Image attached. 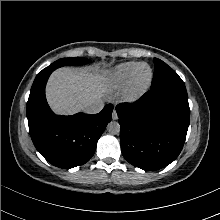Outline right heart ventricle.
<instances>
[{"label":"right heart ventricle","instance_id":"e07e8e85","mask_svg":"<svg viewBox=\"0 0 220 220\" xmlns=\"http://www.w3.org/2000/svg\"><path fill=\"white\" fill-rule=\"evenodd\" d=\"M138 63L128 62L118 65L107 76V83L110 88H122L129 83L131 75Z\"/></svg>","mask_w":220,"mask_h":220}]
</instances>
